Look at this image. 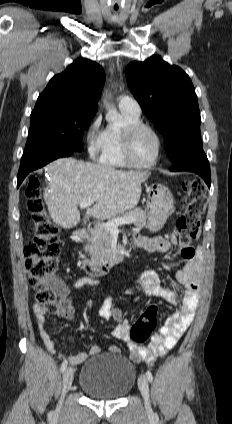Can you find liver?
Here are the masks:
<instances>
[{
	"mask_svg": "<svg viewBox=\"0 0 232 424\" xmlns=\"http://www.w3.org/2000/svg\"><path fill=\"white\" fill-rule=\"evenodd\" d=\"M47 172L51 180L43 197L52 220L65 229L79 223L81 201L96 202L85 219H111L133 209L140 200L141 183L149 176L145 171H121L74 158L51 162Z\"/></svg>",
	"mask_w": 232,
	"mask_h": 424,
	"instance_id": "1",
	"label": "liver"
}]
</instances>
